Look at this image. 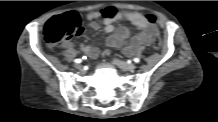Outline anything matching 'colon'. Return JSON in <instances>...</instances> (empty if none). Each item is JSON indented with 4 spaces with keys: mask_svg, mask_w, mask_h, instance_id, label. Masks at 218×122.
<instances>
[{
    "mask_svg": "<svg viewBox=\"0 0 218 122\" xmlns=\"http://www.w3.org/2000/svg\"><path fill=\"white\" fill-rule=\"evenodd\" d=\"M149 23L155 25L157 20L154 15H147ZM83 31L81 16L75 12H67L50 19L44 28L45 41L54 46L59 42L80 35ZM161 46L160 38L157 34L153 35V47L159 49Z\"/></svg>",
    "mask_w": 218,
    "mask_h": 122,
    "instance_id": "1",
    "label": "colon"
}]
</instances>
